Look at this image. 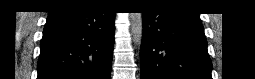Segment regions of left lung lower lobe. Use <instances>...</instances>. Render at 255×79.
Listing matches in <instances>:
<instances>
[{"label": "left lung lower lobe", "mask_w": 255, "mask_h": 79, "mask_svg": "<svg viewBox=\"0 0 255 79\" xmlns=\"http://www.w3.org/2000/svg\"><path fill=\"white\" fill-rule=\"evenodd\" d=\"M141 79H211L212 64L197 13L159 6L143 13Z\"/></svg>", "instance_id": "left-lung-lower-lobe-1"}]
</instances>
